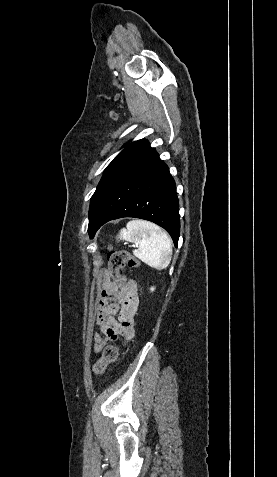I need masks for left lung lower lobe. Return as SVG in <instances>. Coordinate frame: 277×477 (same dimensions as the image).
Here are the masks:
<instances>
[{
  "label": "left lung lower lobe",
  "mask_w": 277,
  "mask_h": 477,
  "mask_svg": "<svg viewBox=\"0 0 277 477\" xmlns=\"http://www.w3.org/2000/svg\"><path fill=\"white\" fill-rule=\"evenodd\" d=\"M123 217L158 224L177 247L180 220L175 182L149 143L124 161L106 181L89 219L90 238L106 222Z\"/></svg>",
  "instance_id": "1"
}]
</instances>
